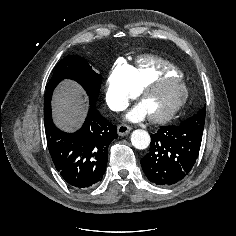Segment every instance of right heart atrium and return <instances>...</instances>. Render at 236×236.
I'll list each match as a JSON object with an SVG mask.
<instances>
[{"label":"right heart atrium","mask_w":236,"mask_h":236,"mask_svg":"<svg viewBox=\"0 0 236 236\" xmlns=\"http://www.w3.org/2000/svg\"><path fill=\"white\" fill-rule=\"evenodd\" d=\"M130 72V65L121 60L112 66L107 75L105 99L113 110H122L135 95L129 81Z\"/></svg>","instance_id":"right-heart-atrium-1"}]
</instances>
